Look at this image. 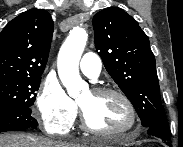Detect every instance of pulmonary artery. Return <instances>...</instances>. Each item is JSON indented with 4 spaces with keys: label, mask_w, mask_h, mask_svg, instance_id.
Returning <instances> with one entry per match:
<instances>
[{
    "label": "pulmonary artery",
    "mask_w": 183,
    "mask_h": 147,
    "mask_svg": "<svg viewBox=\"0 0 183 147\" xmlns=\"http://www.w3.org/2000/svg\"><path fill=\"white\" fill-rule=\"evenodd\" d=\"M101 59L95 53H85L79 63L81 72L91 79H96L101 71Z\"/></svg>",
    "instance_id": "obj_1"
}]
</instances>
